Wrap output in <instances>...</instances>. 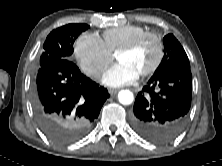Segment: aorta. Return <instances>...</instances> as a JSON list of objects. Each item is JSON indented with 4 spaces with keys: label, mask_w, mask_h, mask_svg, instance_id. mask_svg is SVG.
I'll return each instance as SVG.
<instances>
[{
    "label": "aorta",
    "mask_w": 222,
    "mask_h": 166,
    "mask_svg": "<svg viewBox=\"0 0 222 166\" xmlns=\"http://www.w3.org/2000/svg\"><path fill=\"white\" fill-rule=\"evenodd\" d=\"M118 100L123 105H129L134 100V95L130 90H121L118 93Z\"/></svg>",
    "instance_id": "aorta-1"
}]
</instances>
